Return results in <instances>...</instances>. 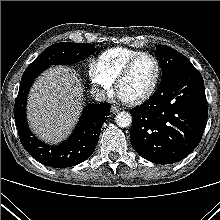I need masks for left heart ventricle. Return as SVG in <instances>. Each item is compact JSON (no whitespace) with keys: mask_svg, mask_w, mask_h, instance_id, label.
<instances>
[{"mask_svg":"<svg viewBox=\"0 0 220 220\" xmlns=\"http://www.w3.org/2000/svg\"><path fill=\"white\" fill-rule=\"evenodd\" d=\"M155 74L154 61L149 57H141L121 82L118 92L127 100L137 98L151 87Z\"/></svg>","mask_w":220,"mask_h":220,"instance_id":"1","label":"left heart ventricle"}]
</instances>
